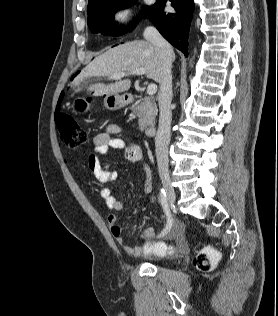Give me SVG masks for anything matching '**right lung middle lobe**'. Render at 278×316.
I'll list each match as a JSON object with an SVG mask.
<instances>
[{"instance_id":"dd1d6c3e","label":"right lung middle lobe","mask_w":278,"mask_h":316,"mask_svg":"<svg viewBox=\"0 0 278 316\" xmlns=\"http://www.w3.org/2000/svg\"><path fill=\"white\" fill-rule=\"evenodd\" d=\"M136 0H108L99 3L88 11V26L93 33L118 36L126 33V29H119L113 20L114 14L121 8L134 4ZM152 7L143 10L144 15H150Z\"/></svg>"}]
</instances>
